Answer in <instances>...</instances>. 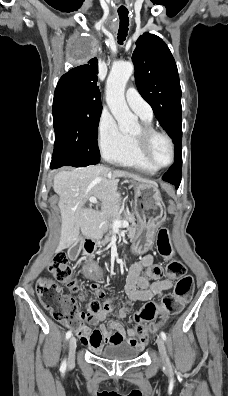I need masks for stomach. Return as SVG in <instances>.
Masks as SVG:
<instances>
[{
  "instance_id": "obj_1",
  "label": "stomach",
  "mask_w": 228,
  "mask_h": 396,
  "mask_svg": "<svg viewBox=\"0 0 228 396\" xmlns=\"http://www.w3.org/2000/svg\"><path fill=\"white\" fill-rule=\"evenodd\" d=\"M135 188V214L139 228L132 237V250L146 253L153 244L156 229L166 218L161 193L155 183H133Z\"/></svg>"
}]
</instances>
